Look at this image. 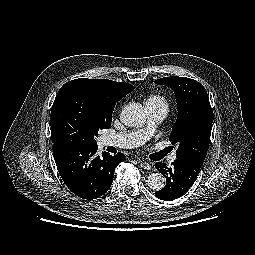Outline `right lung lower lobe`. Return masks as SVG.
<instances>
[{"mask_svg": "<svg viewBox=\"0 0 255 255\" xmlns=\"http://www.w3.org/2000/svg\"><path fill=\"white\" fill-rule=\"evenodd\" d=\"M52 149L57 169L68 189L88 200L109 190L115 167L126 160L123 153L97 155V145L53 144Z\"/></svg>", "mask_w": 255, "mask_h": 255, "instance_id": "right-lung-lower-lobe-1", "label": "right lung lower lobe"}]
</instances>
